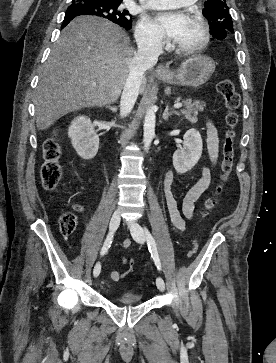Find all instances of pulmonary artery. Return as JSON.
I'll return each instance as SVG.
<instances>
[{
    "label": "pulmonary artery",
    "instance_id": "e3ab8cb5",
    "mask_svg": "<svg viewBox=\"0 0 276 363\" xmlns=\"http://www.w3.org/2000/svg\"><path fill=\"white\" fill-rule=\"evenodd\" d=\"M195 0H149L148 8L154 9H175L194 3Z\"/></svg>",
    "mask_w": 276,
    "mask_h": 363
}]
</instances>
